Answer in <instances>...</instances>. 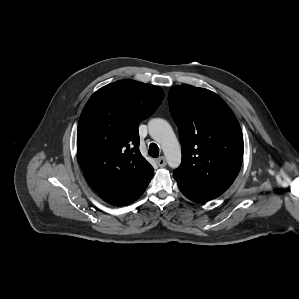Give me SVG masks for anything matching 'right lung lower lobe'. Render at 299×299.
Wrapping results in <instances>:
<instances>
[{
  "mask_svg": "<svg viewBox=\"0 0 299 299\" xmlns=\"http://www.w3.org/2000/svg\"><path fill=\"white\" fill-rule=\"evenodd\" d=\"M141 195H142V194H141ZM141 195H140V196H141ZM140 196H139V197H140ZM139 197H137L136 199H134V200H132V201H130V202H128V203L122 204V205H123V206L128 205V204L134 202L135 200H137ZM122 205H119V206H122Z\"/></svg>",
  "mask_w": 299,
  "mask_h": 299,
  "instance_id": "1",
  "label": "right lung lower lobe"
}]
</instances>
